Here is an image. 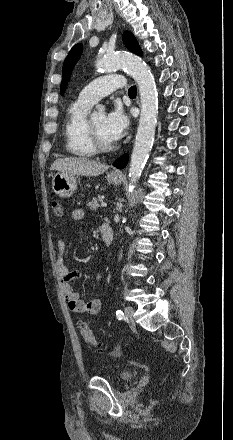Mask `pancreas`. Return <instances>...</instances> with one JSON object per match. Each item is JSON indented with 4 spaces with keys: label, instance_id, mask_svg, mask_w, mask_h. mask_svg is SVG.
<instances>
[{
    "label": "pancreas",
    "instance_id": "1",
    "mask_svg": "<svg viewBox=\"0 0 233 440\" xmlns=\"http://www.w3.org/2000/svg\"><path fill=\"white\" fill-rule=\"evenodd\" d=\"M91 211H96L99 207V203L97 199H93L90 203L87 205Z\"/></svg>",
    "mask_w": 233,
    "mask_h": 440
}]
</instances>
